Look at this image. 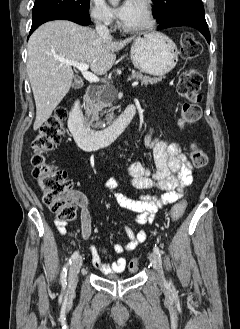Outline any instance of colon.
<instances>
[{"mask_svg":"<svg viewBox=\"0 0 240 329\" xmlns=\"http://www.w3.org/2000/svg\"><path fill=\"white\" fill-rule=\"evenodd\" d=\"M202 46L191 33H185L181 39V54L185 59H194L200 55ZM201 83L202 75L196 69H190L184 73L178 81V92L185 99L180 113V125L185 127L196 123L201 116ZM66 109L58 106L52 115L42 125L39 133L32 141V165L33 177L37 181L42 193L45 205L55 213L62 222H70L76 219L77 203L80 200L73 190V182L67 173L53 165L45 158L47 152L57 145L64 134V121ZM192 164L197 168H203L207 164V155L198 144H192L189 150ZM185 200L176 202L171 210L172 220H178L186 210ZM130 272H136L139 263L132 260L128 264Z\"/></svg>","mask_w":240,"mask_h":329,"instance_id":"5ec220e1","label":"colon"}]
</instances>
